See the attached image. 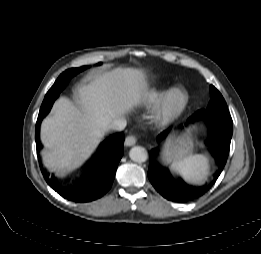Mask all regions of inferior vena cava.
I'll return each mask as SVG.
<instances>
[{
  "instance_id": "obj_1",
  "label": "inferior vena cava",
  "mask_w": 261,
  "mask_h": 254,
  "mask_svg": "<svg viewBox=\"0 0 261 254\" xmlns=\"http://www.w3.org/2000/svg\"><path fill=\"white\" fill-rule=\"evenodd\" d=\"M126 125H127L126 120L124 118H119V119H115L111 123H109L107 128L109 130H113V131H122V130H124Z\"/></svg>"
}]
</instances>
